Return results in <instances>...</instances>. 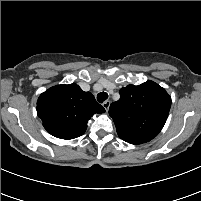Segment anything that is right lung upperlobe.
I'll use <instances>...</instances> for the list:
<instances>
[{"mask_svg": "<svg viewBox=\"0 0 201 201\" xmlns=\"http://www.w3.org/2000/svg\"><path fill=\"white\" fill-rule=\"evenodd\" d=\"M105 109L90 92L77 84L57 85L43 92L37 101V114L44 128L60 139H74L85 133L88 120Z\"/></svg>", "mask_w": 201, "mask_h": 201, "instance_id": "obj_1", "label": "right lung upper lobe"}]
</instances>
